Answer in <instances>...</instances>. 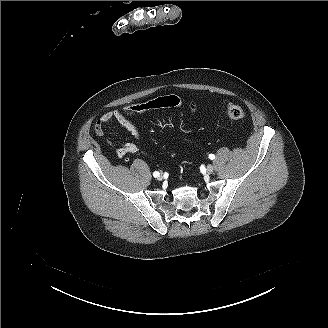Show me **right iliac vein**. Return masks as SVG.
I'll return each mask as SVG.
<instances>
[{"mask_svg":"<svg viewBox=\"0 0 328 328\" xmlns=\"http://www.w3.org/2000/svg\"><path fill=\"white\" fill-rule=\"evenodd\" d=\"M163 179V176L162 175H159L158 176V180L161 181Z\"/></svg>","mask_w":328,"mask_h":328,"instance_id":"63e3f726","label":"right iliac vein"}]
</instances>
